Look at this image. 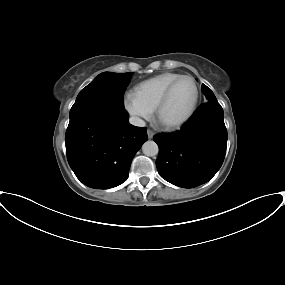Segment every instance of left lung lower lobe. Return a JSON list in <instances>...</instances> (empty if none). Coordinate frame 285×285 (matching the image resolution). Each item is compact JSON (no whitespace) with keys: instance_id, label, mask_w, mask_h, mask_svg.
Returning <instances> with one entry per match:
<instances>
[{"instance_id":"0a47b994","label":"left lung lower lobe","mask_w":285,"mask_h":285,"mask_svg":"<svg viewBox=\"0 0 285 285\" xmlns=\"http://www.w3.org/2000/svg\"><path fill=\"white\" fill-rule=\"evenodd\" d=\"M158 144V172L183 188L208 182L220 169L226 152L227 130L218 102L201 105L182 129L153 137Z\"/></svg>"}]
</instances>
